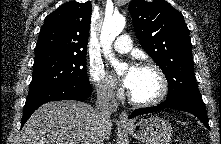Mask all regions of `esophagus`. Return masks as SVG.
Here are the masks:
<instances>
[{"label": "esophagus", "mask_w": 221, "mask_h": 144, "mask_svg": "<svg viewBox=\"0 0 221 144\" xmlns=\"http://www.w3.org/2000/svg\"><path fill=\"white\" fill-rule=\"evenodd\" d=\"M119 122L122 125L130 124L129 117H128V114L126 112L123 111V112L120 113V115H119Z\"/></svg>", "instance_id": "esophagus-1"}]
</instances>
